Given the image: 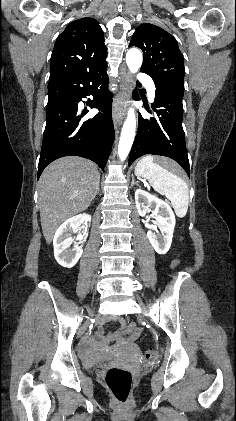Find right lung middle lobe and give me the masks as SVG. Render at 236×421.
I'll return each instance as SVG.
<instances>
[{"label":"right lung middle lobe","instance_id":"obj_1","mask_svg":"<svg viewBox=\"0 0 236 421\" xmlns=\"http://www.w3.org/2000/svg\"><path fill=\"white\" fill-rule=\"evenodd\" d=\"M48 95H49V98H48V101H49V100H53L55 98L61 97L64 94L58 91L57 89L48 87Z\"/></svg>","mask_w":236,"mask_h":421}]
</instances>
